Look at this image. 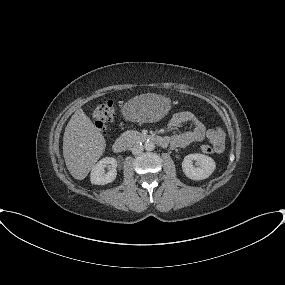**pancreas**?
I'll return each mask as SVG.
<instances>
[{
	"mask_svg": "<svg viewBox=\"0 0 285 285\" xmlns=\"http://www.w3.org/2000/svg\"><path fill=\"white\" fill-rule=\"evenodd\" d=\"M122 136L133 141H138L143 137V135L140 132L134 130L126 131L122 134Z\"/></svg>",
	"mask_w": 285,
	"mask_h": 285,
	"instance_id": "1",
	"label": "pancreas"
}]
</instances>
